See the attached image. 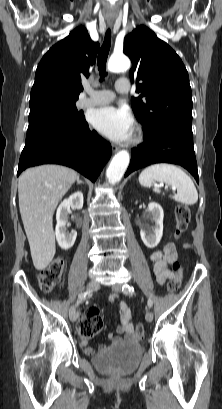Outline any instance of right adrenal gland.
Returning a JSON list of instances; mask_svg holds the SVG:
<instances>
[{"instance_id": "right-adrenal-gland-1", "label": "right adrenal gland", "mask_w": 222, "mask_h": 409, "mask_svg": "<svg viewBox=\"0 0 222 409\" xmlns=\"http://www.w3.org/2000/svg\"><path fill=\"white\" fill-rule=\"evenodd\" d=\"M77 184H84V182L81 181V180L79 179V177H78V178H77Z\"/></svg>"}]
</instances>
